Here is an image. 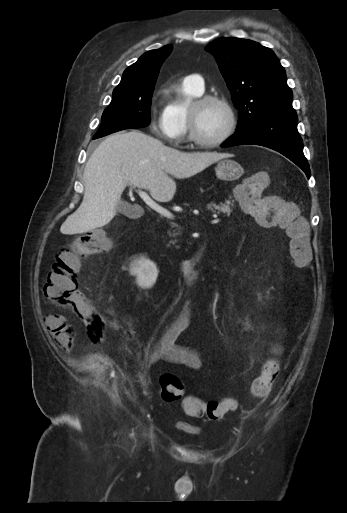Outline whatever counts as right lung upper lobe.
Here are the masks:
<instances>
[{
    "mask_svg": "<svg viewBox=\"0 0 347 513\" xmlns=\"http://www.w3.org/2000/svg\"><path fill=\"white\" fill-rule=\"evenodd\" d=\"M171 50L172 45H167L143 54L136 63L126 68L115 89L146 87L156 83L159 69Z\"/></svg>",
    "mask_w": 347,
    "mask_h": 513,
    "instance_id": "cb5924a9",
    "label": "right lung upper lobe"
}]
</instances>
